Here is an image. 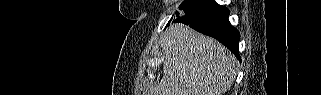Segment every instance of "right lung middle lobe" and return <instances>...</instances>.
<instances>
[{"instance_id":"right-lung-middle-lobe-1","label":"right lung middle lobe","mask_w":321,"mask_h":95,"mask_svg":"<svg viewBox=\"0 0 321 95\" xmlns=\"http://www.w3.org/2000/svg\"><path fill=\"white\" fill-rule=\"evenodd\" d=\"M212 2H213V0H185L179 6V9L182 10L184 13H181V15H179L180 13L176 12V14L178 16L176 20H178L182 17L194 14V13L202 10L204 7L208 6ZM172 19H173V17L169 20L168 24H170L172 22Z\"/></svg>"}]
</instances>
